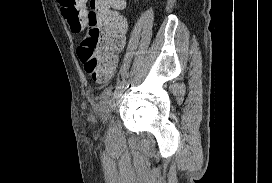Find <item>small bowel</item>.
<instances>
[{"mask_svg": "<svg viewBox=\"0 0 272 183\" xmlns=\"http://www.w3.org/2000/svg\"><path fill=\"white\" fill-rule=\"evenodd\" d=\"M114 71V70H113ZM113 74V72L107 77V78H105V79H98V78H94L95 80H97V81H99V82H104V81H106V80H108L110 77H111V75Z\"/></svg>", "mask_w": 272, "mask_h": 183, "instance_id": "1", "label": "small bowel"}]
</instances>
